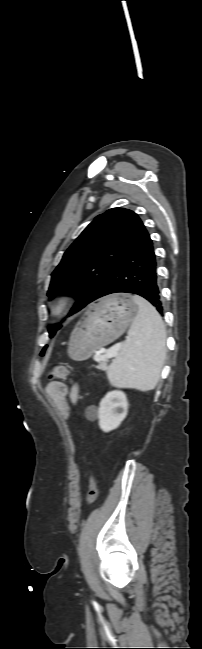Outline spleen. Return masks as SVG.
Returning a JSON list of instances; mask_svg holds the SVG:
<instances>
[{
	"instance_id": "3e777b00",
	"label": "spleen",
	"mask_w": 202,
	"mask_h": 649,
	"mask_svg": "<svg viewBox=\"0 0 202 649\" xmlns=\"http://www.w3.org/2000/svg\"><path fill=\"white\" fill-rule=\"evenodd\" d=\"M139 311L128 331L119 356L110 366L108 379L118 387L153 389L166 354V329L157 310L143 297L133 296Z\"/></svg>"
}]
</instances>
